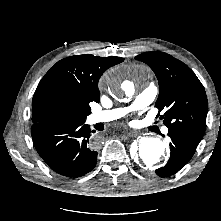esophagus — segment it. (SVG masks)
<instances>
[{"instance_id": "esophagus-1", "label": "esophagus", "mask_w": 221, "mask_h": 221, "mask_svg": "<svg viewBox=\"0 0 221 221\" xmlns=\"http://www.w3.org/2000/svg\"><path fill=\"white\" fill-rule=\"evenodd\" d=\"M124 135L127 136V137H131V136H135L136 133L133 132V131H125V132H124Z\"/></svg>"}]
</instances>
